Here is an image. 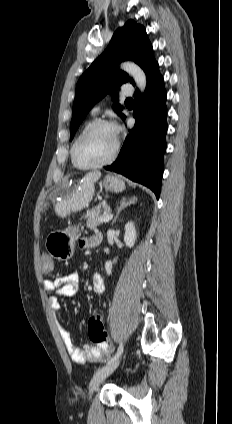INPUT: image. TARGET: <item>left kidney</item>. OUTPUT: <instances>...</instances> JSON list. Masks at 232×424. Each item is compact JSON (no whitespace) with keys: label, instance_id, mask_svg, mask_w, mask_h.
I'll use <instances>...</instances> for the list:
<instances>
[{"label":"left kidney","instance_id":"obj_1","mask_svg":"<svg viewBox=\"0 0 232 424\" xmlns=\"http://www.w3.org/2000/svg\"><path fill=\"white\" fill-rule=\"evenodd\" d=\"M136 239H137V233H136L135 225L132 221H130L125 225V234H124L125 244L129 248H131V247L134 246ZM105 270H106V273L108 275L111 274V272H112V262L111 261H107L105 263Z\"/></svg>","mask_w":232,"mask_h":424}]
</instances>
